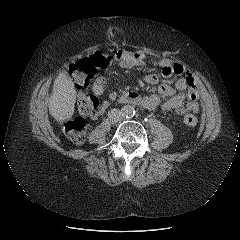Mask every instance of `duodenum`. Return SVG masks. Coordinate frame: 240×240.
<instances>
[{
  "mask_svg": "<svg viewBox=\"0 0 240 240\" xmlns=\"http://www.w3.org/2000/svg\"><path fill=\"white\" fill-rule=\"evenodd\" d=\"M119 101L121 103L142 105L141 97L137 93H135V92H129V93H126V94L122 95L119 98Z\"/></svg>",
  "mask_w": 240,
  "mask_h": 240,
  "instance_id": "410a0bca",
  "label": "duodenum"
}]
</instances>
